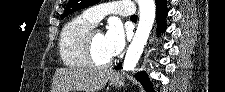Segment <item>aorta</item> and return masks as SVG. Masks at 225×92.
I'll list each match as a JSON object with an SVG mask.
<instances>
[{"mask_svg": "<svg viewBox=\"0 0 225 92\" xmlns=\"http://www.w3.org/2000/svg\"><path fill=\"white\" fill-rule=\"evenodd\" d=\"M140 18L134 38L129 45L123 63L125 71L133 70L142 55L155 19V1L138 0Z\"/></svg>", "mask_w": 225, "mask_h": 92, "instance_id": "obj_1", "label": "aorta"}]
</instances>
